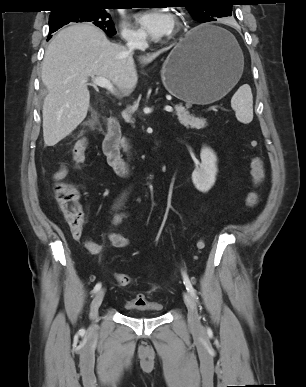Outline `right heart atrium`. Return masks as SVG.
Returning a JSON list of instances; mask_svg holds the SVG:
<instances>
[{
	"label": "right heart atrium",
	"instance_id": "right-heart-atrium-1",
	"mask_svg": "<svg viewBox=\"0 0 306 387\" xmlns=\"http://www.w3.org/2000/svg\"><path fill=\"white\" fill-rule=\"evenodd\" d=\"M121 36L128 43H139L144 40V35L140 31L133 29L126 23L121 25Z\"/></svg>",
	"mask_w": 306,
	"mask_h": 387
}]
</instances>
